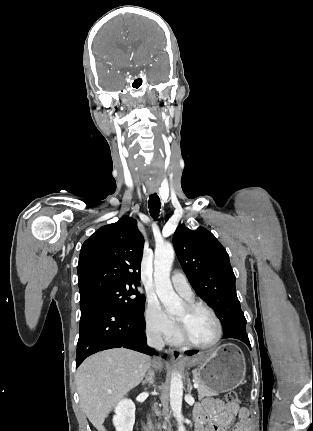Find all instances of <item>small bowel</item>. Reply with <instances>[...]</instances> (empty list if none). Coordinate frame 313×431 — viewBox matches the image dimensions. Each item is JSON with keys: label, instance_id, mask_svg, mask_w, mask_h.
<instances>
[{"label": "small bowel", "instance_id": "obj_1", "mask_svg": "<svg viewBox=\"0 0 313 431\" xmlns=\"http://www.w3.org/2000/svg\"><path fill=\"white\" fill-rule=\"evenodd\" d=\"M195 431H253L249 411L238 404H227L219 399H206L194 410Z\"/></svg>", "mask_w": 313, "mask_h": 431}]
</instances>
